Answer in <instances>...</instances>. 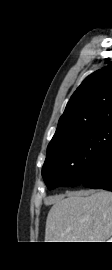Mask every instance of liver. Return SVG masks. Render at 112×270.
I'll list each match as a JSON object with an SVG mask.
<instances>
[{
	"label": "liver",
	"instance_id": "obj_1",
	"mask_svg": "<svg viewBox=\"0 0 112 270\" xmlns=\"http://www.w3.org/2000/svg\"><path fill=\"white\" fill-rule=\"evenodd\" d=\"M112 236V192L75 191L54 200L45 242H105Z\"/></svg>",
	"mask_w": 112,
	"mask_h": 270
}]
</instances>
